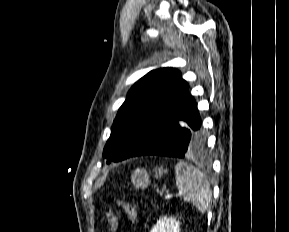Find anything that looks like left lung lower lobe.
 <instances>
[{"label": "left lung lower lobe", "mask_w": 289, "mask_h": 232, "mask_svg": "<svg viewBox=\"0 0 289 232\" xmlns=\"http://www.w3.org/2000/svg\"><path fill=\"white\" fill-rule=\"evenodd\" d=\"M205 147L206 137L201 129L197 105L189 95L172 120L129 157L161 155L183 158L202 152Z\"/></svg>", "instance_id": "0a47b994"}]
</instances>
